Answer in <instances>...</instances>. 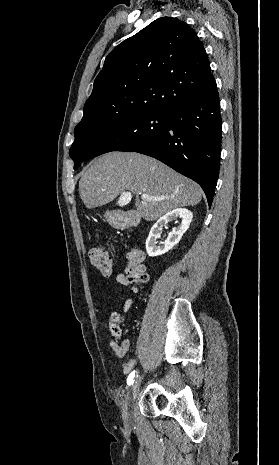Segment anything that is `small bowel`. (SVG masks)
<instances>
[{"instance_id":"c3829d8e","label":"small bowel","mask_w":279,"mask_h":465,"mask_svg":"<svg viewBox=\"0 0 279 465\" xmlns=\"http://www.w3.org/2000/svg\"><path fill=\"white\" fill-rule=\"evenodd\" d=\"M116 282L122 286L128 285V280L123 274H119L116 276ZM132 302H133L132 298H127L123 304V311L125 312L128 311L132 305ZM110 347L118 358L123 359L130 348V341L128 338H124L121 341V343L118 344L114 340H111ZM135 364H136L135 359L125 360L122 364V373L128 374L129 372H131Z\"/></svg>"}]
</instances>
